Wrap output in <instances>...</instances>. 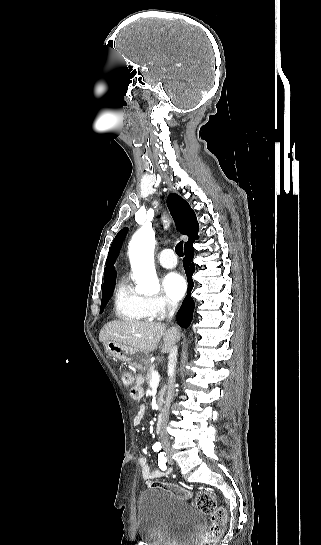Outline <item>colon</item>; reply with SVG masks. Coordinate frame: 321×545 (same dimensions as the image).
Segmentation results:
<instances>
[{
    "label": "colon",
    "mask_w": 321,
    "mask_h": 545,
    "mask_svg": "<svg viewBox=\"0 0 321 545\" xmlns=\"http://www.w3.org/2000/svg\"><path fill=\"white\" fill-rule=\"evenodd\" d=\"M118 372L123 384L130 386L132 384V377L129 370L121 366ZM152 487L163 488L179 498L190 497V494L185 489L175 484L159 483L152 484ZM192 502L196 509L209 515L211 518V524L207 534L201 541V545H215L224 532L227 519L225 509L217 505L215 496L210 492H198L192 497Z\"/></svg>",
    "instance_id": "obj_1"
}]
</instances>
